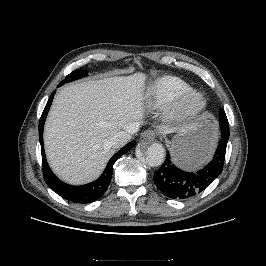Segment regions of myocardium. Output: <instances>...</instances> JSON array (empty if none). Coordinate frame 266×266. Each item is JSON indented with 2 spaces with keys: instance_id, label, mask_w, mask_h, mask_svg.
Wrapping results in <instances>:
<instances>
[{
  "instance_id": "myocardium-1",
  "label": "myocardium",
  "mask_w": 266,
  "mask_h": 266,
  "mask_svg": "<svg viewBox=\"0 0 266 266\" xmlns=\"http://www.w3.org/2000/svg\"><path fill=\"white\" fill-rule=\"evenodd\" d=\"M206 107L205 95L201 91L190 88L169 104L167 115L171 118H194L200 115Z\"/></svg>"
}]
</instances>
